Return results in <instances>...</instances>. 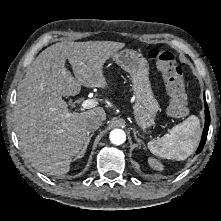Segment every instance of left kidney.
<instances>
[{
	"mask_svg": "<svg viewBox=\"0 0 221 221\" xmlns=\"http://www.w3.org/2000/svg\"><path fill=\"white\" fill-rule=\"evenodd\" d=\"M148 163L151 167L155 168V169H162V165L160 162H158L156 159L153 158H149L148 159Z\"/></svg>",
	"mask_w": 221,
	"mask_h": 221,
	"instance_id": "obj_1",
	"label": "left kidney"
}]
</instances>
